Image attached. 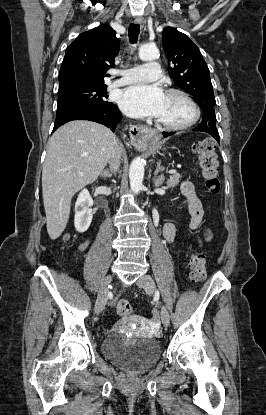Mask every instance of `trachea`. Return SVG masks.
Segmentation results:
<instances>
[{
    "label": "trachea",
    "instance_id": "1",
    "mask_svg": "<svg viewBox=\"0 0 266 415\" xmlns=\"http://www.w3.org/2000/svg\"><path fill=\"white\" fill-rule=\"evenodd\" d=\"M129 40L131 43H136L138 39V35L140 33V25L139 24H130L128 30Z\"/></svg>",
    "mask_w": 266,
    "mask_h": 415
}]
</instances>
